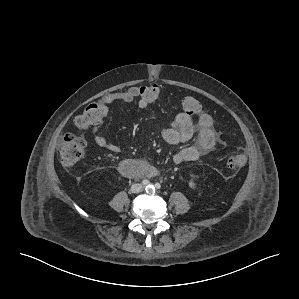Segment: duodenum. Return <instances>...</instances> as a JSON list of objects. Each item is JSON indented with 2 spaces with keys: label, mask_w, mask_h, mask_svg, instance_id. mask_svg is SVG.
<instances>
[{
  "label": "duodenum",
  "mask_w": 299,
  "mask_h": 299,
  "mask_svg": "<svg viewBox=\"0 0 299 299\" xmlns=\"http://www.w3.org/2000/svg\"><path fill=\"white\" fill-rule=\"evenodd\" d=\"M141 162L137 160H125L120 163V172L128 177H135L141 173Z\"/></svg>",
  "instance_id": "duodenum-1"
}]
</instances>
